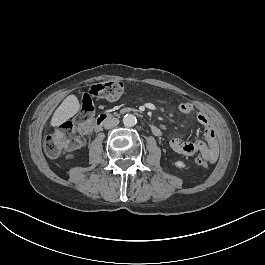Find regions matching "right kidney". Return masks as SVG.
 <instances>
[{"label": "right kidney", "mask_w": 265, "mask_h": 265, "mask_svg": "<svg viewBox=\"0 0 265 265\" xmlns=\"http://www.w3.org/2000/svg\"><path fill=\"white\" fill-rule=\"evenodd\" d=\"M71 157H73V156H72V155H67V156H66V158H71Z\"/></svg>", "instance_id": "obj_1"}]
</instances>
